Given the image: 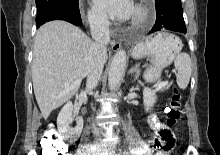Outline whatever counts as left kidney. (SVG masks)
<instances>
[{"label":"left kidney","instance_id":"left-kidney-1","mask_svg":"<svg viewBox=\"0 0 220 155\" xmlns=\"http://www.w3.org/2000/svg\"><path fill=\"white\" fill-rule=\"evenodd\" d=\"M143 99L145 110L148 112L149 110H151L156 102L155 92L149 88H145L143 92Z\"/></svg>","mask_w":220,"mask_h":155}]
</instances>
